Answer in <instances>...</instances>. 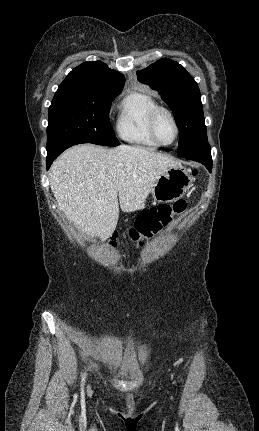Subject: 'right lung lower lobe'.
<instances>
[{"label":"right lung lower lobe","instance_id":"1","mask_svg":"<svg viewBox=\"0 0 259 431\" xmlns=\"http://www.w3.org/2000/svg\"><path fill=\"white\" fill-rule=\"evenodd\" d=\"M76 144H81V141L65 140L47 148V169H49L57 156H59L67 148Z\"/></svg>","mask_w":259,"mask_h":431}]
</instances>
